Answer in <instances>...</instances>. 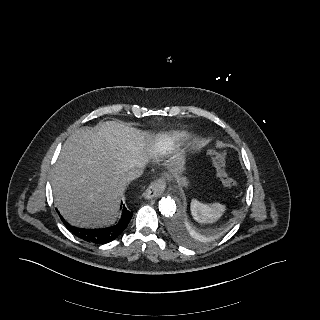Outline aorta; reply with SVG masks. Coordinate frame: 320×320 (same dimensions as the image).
<instances>
[{
	"mask_svg": "<svg viewBox=\"0 0 320 320\" xmlns=\"http://www.w3.org/2000/svg\"><path fill=\"white\" fill-rule=\"evenodd\" d=\"M176 209H177L176 201L172 197H169V196L163 197L159 201V211L164 216L169 217V216L174 215L176 212Z\"/></svg>",
	"mask_w": 320,
	"mask_h": 320,
	"instance_id": "762f6f07",
	"label": "aorta"
}]
</instances>
